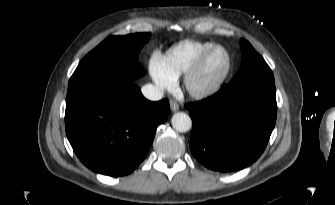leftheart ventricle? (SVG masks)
Masks as SVG:
<instances>
[{"label": "left heart ventricle", "instance_id": "obj_1", "mask_svg": "<svg viewBox=\"0 0 335 205\" xmlns=\"http://www.w3.org/2000/svg\"><path fill=\"white\" fill-rule=\"evenodd\" d=\"M226 55L223 51L214 52L206 61L203 70L196 79L197 87H207L215 82L226 67Z\"/></svg>", "mask_w": 335, "mask_h": 205}]
</instances>
